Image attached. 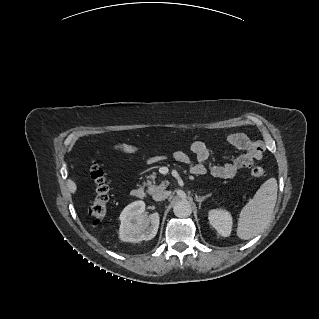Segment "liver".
<instances>
[{
	"mask_svg": "<svg viewBox=\"0 0 319 319\" xmlns=\"http://www.w3.org/2000/svg\"><path fill=\"white\" fill-rule=\"evenodd\" d=\"M70 189H71L72 193H75V191L77 189L76 184L73 181L70 182Z\"/></svg>",
	"mask_w": 319,
	"mask_h": 319,
	"instance_id": "1",
	"label": "liver"
}]
</instances>
